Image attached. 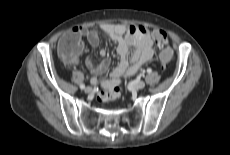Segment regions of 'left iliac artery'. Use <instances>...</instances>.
Instances as JSON below:
<instances>
[{
  "mask_svg": "<svg viewBox=\"0 0 230 155\" xmlns=\"http://www.w3.org/2000/svg\"><path fill=\"white\" fill-rule=\"evenodd\" d=\"M147 72H148V73H151V72H152V70H151V69H147Z\"/></svg>",
  "mask_w": 230,
  "mask_h": 155,
  "instance_id": "left-iliac-artery-1",
  "label": "left iliac artery"
}]
</instances>
